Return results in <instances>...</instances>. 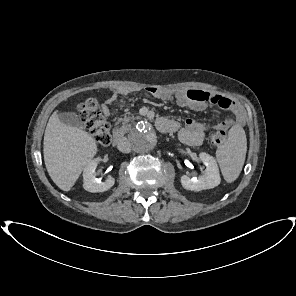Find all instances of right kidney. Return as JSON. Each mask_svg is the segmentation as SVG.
<instances>
[{
  "label": "right kidney",
  "mask_w": 296,
  "mask_h": 296,
  "mask_svg": "<svg viewBox=\"0 0 296 296\" xmlns=\"http://www.w3.org/2000/svg\"><path fill=\"white\" fill-rule=\"evenodd\" d=\"M102 159L97 157L91 160L84 168L83 171V187L86 191L95 193V192H104L109 190L115 183V179L113 177H109L106 181L101 182L96 178V168L98 163Z\"/></svg>",
  "instance_id": "ca27d5eb"
}]
</instances>
